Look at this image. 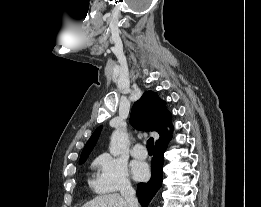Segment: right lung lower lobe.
<instances>
[{"instance_id": "right-lung-lower-lobe-1", "label": "right lung lower lobe", "mask_w": 261, "mask_h": 207, "mask_svg": "<svg viewBox=\"0 0 261 207\" xmlns=\"http://www.w3.org/2000/svg\"><path fill=\"white\" fill-rule=\"evenodd\" d=\"M168 141L159 143L155 147L154 156L151 163V179L146 183H139L137 186V197L142 207H147L152 197L162 185L163 179V154L167 149Z\"/></svg>"}]
</instances>
